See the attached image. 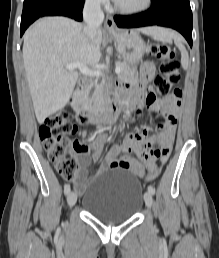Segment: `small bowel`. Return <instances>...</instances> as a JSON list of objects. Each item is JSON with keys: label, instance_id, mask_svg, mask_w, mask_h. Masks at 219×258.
Segmentation results:
<instances>
[{"label": "small bowel", "instance_id": "obj_1", "mask_svg": "<svg viewBox=\"0 0 219 258\" xmlns=\"http://www.w3.org/2000/svg\"><path fill=\"white\" fill-rule=\"evenodd\" d=\"M155 71V62H144L141 67L140 86L120 89V94L127 99L132 109L142 105L141 86L153 78ZM148 98H151L150 101L147 99L148 107L158 112L163 119L159 125V134L155 139L146 137V129L138 133L126 134L123 143L111 147L106 159L101 164V172L111 168H122L144 178L148 177L146 176L148 169H156L155 163H165L170 156L180 107V97L171 94L163 100L157 99L153 95H149ZM128 115L129 112H126V116ZM106 140V135L100 134L94 140L76 143L78 145L80 169L72 181L77 193H81L87 186V167L91 161L97 162L99 160ZM154 143H157L158 147H154ZM136 156L141 158L143 162L139 161ZM151 174L159 175L160 171L152 170Z\"/></svg>", "mask_w": 219, "mask_h": 258}]
</instances>
